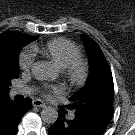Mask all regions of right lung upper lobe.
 <instances>
[{"label": "right lung upper lobe", "mask_w": 135, "mask_h": 135, "mask_svg": "<svg viewBox=\"0 0 135 135\" xmlns=\"http://www.w3.org/2000/svg\"><path fill=\"white\" fill-rule=\"evenodd\" d=\"M21 34L23 33L14 32V31H6L0 34V69L7 67L11 61V56L9 54L10 41L13 39V37ZM30 37L38 38L36 36H30Z\"/></svg>", "instance_id": "cb5924a9"}]
</instances>
